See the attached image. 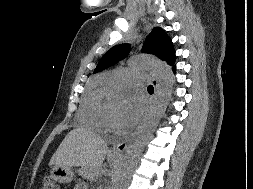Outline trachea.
Listing matches in <instances>:
<instances>
[{
    "mask_svg": "<svg viewBox=\"0 0 253 189\" xmlns=\"http://www.w3.org/2000/svg\"><path fill=\"white\" fill-rule=\"evenodd\" d=\"M148 91H154V87L152 85H149L148 88H147Z\"/></svg>",
    "mask_w": 253,
    "mask_h": 189,
    "instance_id": "obj_1",
    "label": "trachea"
}]
</instances>
